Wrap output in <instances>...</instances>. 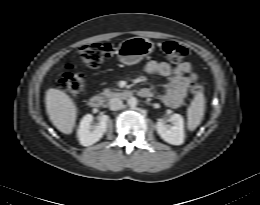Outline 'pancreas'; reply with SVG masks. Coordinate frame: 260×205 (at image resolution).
I'll return each instance as SVG.
<instances>
[{
	"instance_id": "1",
	"label": "pancreas",
	"mask_w": 260,
	"mask_h": 205,
	"mask_svg": "<svg viewBox=\"0 0 260 205\" xmlns=\"http://www.w3.org/2000/svg\"><path fill=\"white\" fill-rule=\"evenodd\" d=\"M102 94L105 95V96H111L112 95L111 89L105 88L103 90Z\"/></svg>"
}]
</instances>
